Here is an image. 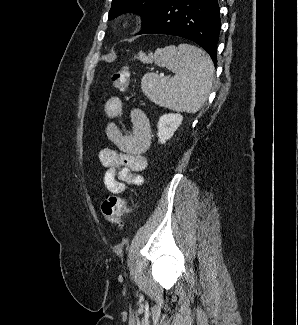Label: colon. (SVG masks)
Segmentation results:
<instances>
[{
  "mask_svg": "<svg viewBox=\"0 0 298 325\" xmlns=\"http://www.w3.org/2000/svg\"><path fill=\"white\" fill-rule=\"evenodd\" d=\"M130 80L128 66L119 67L111 76V83L118 90H126ZM103 217L112 225H120L122 218L128 212V205L124 198L119 196L107 197L101 205Z\"/></svg>",
  "mask_w": 298,
  "mask_h": 325,
  "instance_id": "colon-1",
  "label": "colon"
}]
</instances>
